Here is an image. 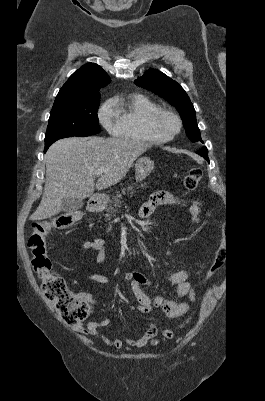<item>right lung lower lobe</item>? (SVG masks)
Segmentation results:
<instances>
[{"mask_svg":"<svg viewBox=\"0 0 265 401\" xmlns=\"http://www.w3.org/2000/svg\"><path fill=\"white\" fill-rule=\"evenodd\" d=\"M49 146H50V145H45L44 152H46V151H47V149L49 148Z\"/></svg>","mask_w":265,"mask_h":401,"instance_id":"right-lung-lower-lobe-1","label":"right lung lower lobe"}]
</instances>
